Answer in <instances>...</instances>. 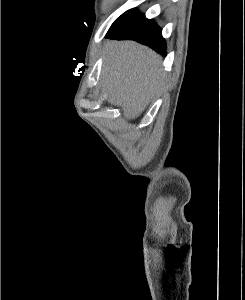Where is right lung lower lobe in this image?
<instances>
[{"label": "right lung lower lobe", "instance_id": "obj_1", "mask_svg": "<svg viewBox=\"0 0 245 300\" xmlns=\"http://www.w3.org/2000/svg\"><path fill=\"white\" fill-rule=\"evenodd\" d=\"M110 39H131L147 45L157 53H166V42L162 37L161 28L152 20L143 18L119 34L108 36Z\"/></svg>", "mask_w": 245, "mask_h": 300}]
</instances>
